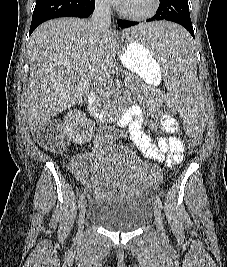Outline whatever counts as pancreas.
Returning <instances> with one entry per match:
<instances>
[{"instance_id":"cf45deb5","label":"pancreas","mask_w":227,"mask_h":267,"mask_svg":"<svg viewBox=\"0 0 227 267\" xmlns=\"http://www.w3.org/2000/svg\"><path fill=\"white\" fill-rule=\"evenodd\" d=\"M126 84H127V87L134 92H137L140 90L145 91L149 89V87L146 86L143 82H141L139 79H135L132 76L126 78ZM112 94H113V90L110 86H108L100 92L99 100H102L105 106H110Z\"/></svg>"}]
</instances>
